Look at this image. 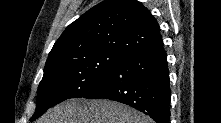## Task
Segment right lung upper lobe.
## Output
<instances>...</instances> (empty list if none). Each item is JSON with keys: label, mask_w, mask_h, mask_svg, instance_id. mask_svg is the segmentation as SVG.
<instances>
[{"label": "right lung upper lobe", "mask_w": 221, "mask_h": 123, "mask_svg": "<svg viewBox=\"0 0 221 123\" xmlns=\"http://www.w3.org/2000/svg\"><path fill=\"white\" fill-rule=\"evenodd\" d=\"M162 36L156 19L137 0H104L71 23L55 42L46 62L98 48L130 54L157 48Z\"/></svg>", "instance_id": "obj_1"}]
</instances>
